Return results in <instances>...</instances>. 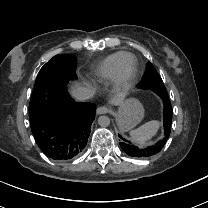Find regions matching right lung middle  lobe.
Wrapping results in <instances>:
<instances>
[{"label":"right lung middle lobe","mask_w":208,"mask_h":208,"mask_svg":"<svg viewBox=\"0 0 208 208\" xmlns=\"http://www.w3.org/2000/svg\"><path fill=\"white\" fill-rule=\"evenodd\" d=\"M76 61L75 56L71 54H59L54 56L41 68L34 88L38 85V83H42L44 81V77L47 75V72L54 70L55 67H57L59 83L62 87H66L70 79L76 78ZM29 106H31V101ZM29 114L30 118L35 116L32 109H29Z\"/></svg>","instance_id":"obj_1"}]
</instances>
